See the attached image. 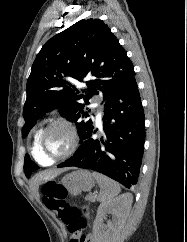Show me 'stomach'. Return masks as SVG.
I'll return each instance as SVG.
<instances>
[{
    "label": "stomach",
    "mask_w": 187,
    "mask_h": 242,
    "mask_svg": "<svg viewBox=\"0 0 187 242\" xmlns=\"http://www.w3.org/2000/svg\"><path fill=\"white\" fill-rule=\"evenodd\" d=\"M60 184L71 194L78 195L82 191H90L95 182L92 174L83 169L65 175Z\"/></svg>",
    "instance_id": "obj_1"
}]
</instances>
